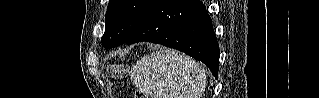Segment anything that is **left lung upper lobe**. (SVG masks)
Here are the masks:
<instances>
[{
  "label": "left lung upper lobe",
  "mask_w": 319,
  "mask_h": 98,
  "mask_svg": "<svg viewBox=\"0 0 319 98\" xmlns=\"http://www.w3.org/2000/svg\"><path fill=\"white\" fill-rule=\"evenodd\" d=\"M157 0H110L105 16L106 48L125 43L142 25Z\"/></svg>",
  "instance_id": "5c2ea615"
}]
</instances>
